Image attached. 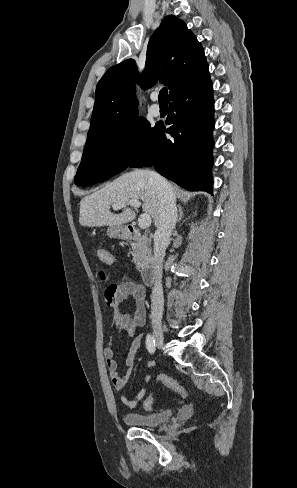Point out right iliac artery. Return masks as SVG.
<instances>
[{"label":"right iliac artery","mask_w":297,"mask_h":488,"mask_svg":"<svg viewBox=\"0 0 297 488\" xmlns=\"http://www.w3.org/2000/svg\"><path fill=\"white\" fill-rule=\"evenodd\" d=\"M155 347H156V345H155L154 337L152 336V334H147V336H146V348H147V350L150 353H154Z\"/></svg>","instance_id":"right-iliac-artery-1"}]
</instances>
